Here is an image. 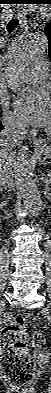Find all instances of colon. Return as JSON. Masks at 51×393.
Returning a JSON list of instances; mask_svg holds the SVG:
<instances>
[{"instance_id": "1", "label": "colon", "mask_w": 51, "mask_h": 393, "mask_svg": "<svg viewBox=\"0 0 51 393\" xmlns=\"http://www.w3.org/2000/svg\"><path fill=\"white\" fill-rule=\"evenodd\" d=\"M45 336L33 335V344L42 347ZM27 331L23 317L16 316L1 331L2 375L16 393H26L35 374L36 365L26 348Z\"/></svg>"}]
</instances>
